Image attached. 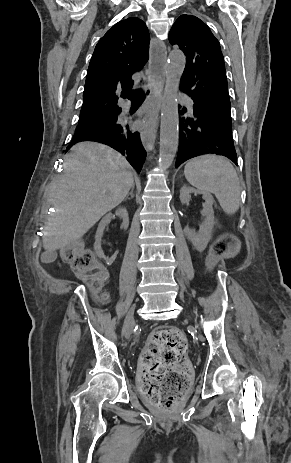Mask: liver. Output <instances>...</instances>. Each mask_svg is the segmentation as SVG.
Segmentation results:
<instances>
[{
    "label": "liver",
    "instance_id": "1",
    "mask_svg": "<svg viewBox=\"0 0 291 463\" xmlns=\"http://www.w3.org/2000/svg\"><path fill=\"white\" fill-rule=\"evenodd\" d=\"M133 185L131 167L120 153L94 142L75 145L51 186L56 212L45 227L44 249L54 253L77 241L117 207Z\"/></svg>",
    "mask_w": 291,
    "mask_h": 463
}]
</instances>
